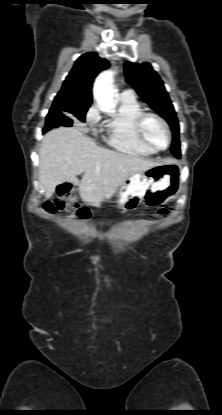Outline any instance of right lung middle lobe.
Listing matches in <instances>:
<instances>
[{
	"label": "right lung middle lobe",
	"instance_id": "obj_1",
	"mask_svg": "<svg viewBox=\"0 0 222 415\" xmlns=\"http://www.w3.org/2000/svg\"><path fill=\"white\" fill-rule=\"evenodd\" d=\"M89 107V104H81L51 108L47 115L45 126L48 130L58 126L70 127L73 124V119L71 117H76L84 122L85 114Z\"/></svg>",
	"mask_w": 222,
	"mask_h": 415
}]
</instances>
